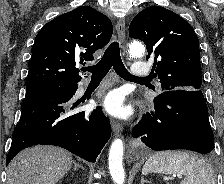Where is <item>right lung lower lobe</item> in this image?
I'll list each match as a JSON object with an SVG mask.
<instances>
[{"label":"right lung lower lobe","mask_w":224,"mask_h":184,"mask_svg":"<svg viewBox=\"0 0 224 184\" xmlns=\"http://www.w3.org/2000/svg\"><path fill=\"white\" fill-rule=\"evenodd\" d=\"M77 88V83L62 85L23 102L6 165L22 149L38 144L59 146L95 162L111 136V126L99 107L90 114L74 110L78 104L71 99Z\"/></svg>","instance_id":"right-lung-lower-lobe-1"}]
</instances>
